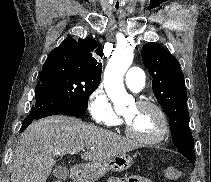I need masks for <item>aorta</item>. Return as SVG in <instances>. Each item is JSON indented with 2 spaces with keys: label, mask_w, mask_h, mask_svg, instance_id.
<instances>
[{
  "label": "aorta",
  "mask_w": 211,
  "mask_h": 182,
  "mask_svg": "<svg viewBox=\"0 0 211 182\" xmlns=\"http://www.w3.org/2000/svg\"><path fill=\"white\" fill-rule=\"evenodd\" d=\"M133 51L123 49L115 51L104 72L105 91L115 108L123 106L129 99L123 83V77L132 64Z\"/></svg>",
  "instance_id": "aorta-1"
}]
</instances>
